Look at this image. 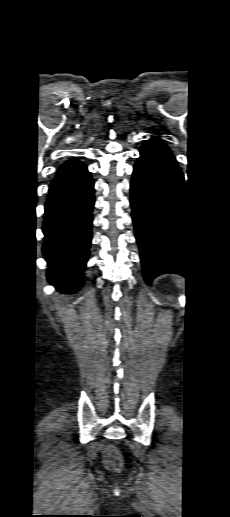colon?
<instances>
[{
    "instance_id": "1",
    "label": "colon",
    "mask_w": 230,
    "mask_h": 517,
    "mask_svg": "<svg viewBox=\"0 0 230 517\" xmlns=\"http://www.w3.org/2000/svg\"><path fill=\"white\" fill-rule=\"evenodd\" d=\"M103 463L111 471H120L123 468V458L114 446H107L104 450Z\"/></svg>"
}]
</instances>
